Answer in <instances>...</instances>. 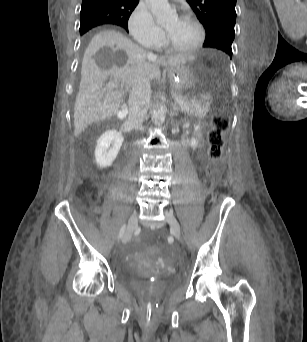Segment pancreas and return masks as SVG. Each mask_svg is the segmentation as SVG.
<instances>
[{"mask_svg": "<svg viewBox=\"0 0 307 342\" xmlns=\"http://www.w3.org/2000/svg\"><path fill=\"white\" fill-rule=\"evenodd\" d=\"M175 99L180 104H189L190 110L196 112L197 117H202L204 112L209 108L208 103H202L203 100L201 97H196L195 100H192L191 97H186L185 94H176ZM188 115L192 116L193 112L189 111Z\"/></svg>", "mask_w": 307, "mask_h": 342, "instance_id": "obj_1", "label": "pancreas"}]
</instances>
